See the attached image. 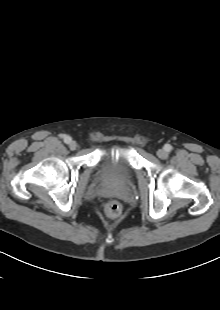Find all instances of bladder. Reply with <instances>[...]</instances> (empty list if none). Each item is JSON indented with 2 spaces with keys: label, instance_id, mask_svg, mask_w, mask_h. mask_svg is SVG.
I'll return each mask as SVG.
<instances>
[{
  "label": "bladder",
  "instance_id": "31cf9c89",
  "mask_svg": "<svg viewBox=\"0 0 220 310\" xmlns=\"http://www.w3.org/2000/svg\"><path fill=\"white\" fill-rule=\"evenodd\" d=\"M98 176L107 183L125 184L131 180L133 172L123 158H117L103 162Z\"/></svg>",
  "mask_w": 220,
  "mask_h": 310
}]
</instances>
